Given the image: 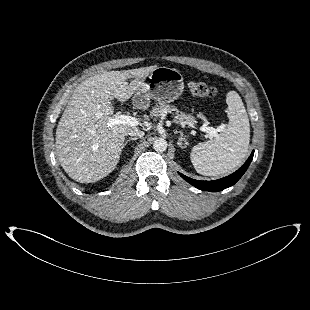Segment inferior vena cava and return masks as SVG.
<instances>
[{"label": "inferior vena cava", "instance_id": "inferior-vena-cava-1", "mask_svg": "<svg viewBox=\"0 0 310 310\" xmlns=\"http://www.w3.org/2000/svg\"><path fill=\"white\" fill-rule=\"evenodd\" d=\"M126 134H128L130 136H137L139 138H143V136H144V132L139 130L138 128L131 129V130L127 131Z\"/></svg>", "mask_w": 310, "mask_h": 310}]
</instances>
